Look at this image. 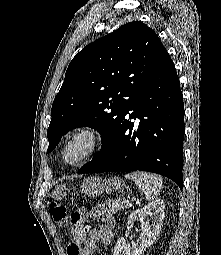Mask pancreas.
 <instances>
[{"mask_svg": "<svg viewBox=\"0 0 221 255\" xmlns=\"http://www.w3.org/2000/svg\"><path fill=\"white\" fill-rule=\"evenodd\" d=\"M106 204L108 205L110 212H112L113 214H118L125 208L129 207V205L125 203V200L121 198H118L116 200L108 199L106 200Z\"/></svg>", "mask_w": 221, "mask_h": 255, "instance_id": "pancreas-1", "label": "pancreas"}]
</instances>
